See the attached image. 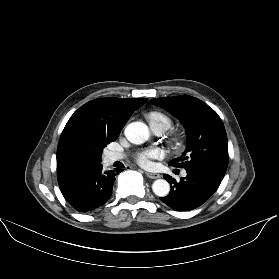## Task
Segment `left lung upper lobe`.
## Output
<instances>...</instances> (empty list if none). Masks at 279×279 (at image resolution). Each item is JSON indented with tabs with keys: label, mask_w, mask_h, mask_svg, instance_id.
Listing matches in <instances>:
<instances>
[{
	"label": "left lung upper lobe",
	"mask_w": 279,
	"mask_h": 279,
	"mask_svg": "<svg viewBox=\"0 0 279 279\" xmlns=\"http://www.w3.org/2000/svg\"><path fill=\"white\" fill-rule=\"evenodd\" d=\"M151 102L175 115L186 130V149L169 165L201 168L223 179L228 166V144L218 114L203 101L188 95L162 97Z\"/></svg>",
	"instance_id": "left-lung-upper-lobe-1"
}]
</instances>
